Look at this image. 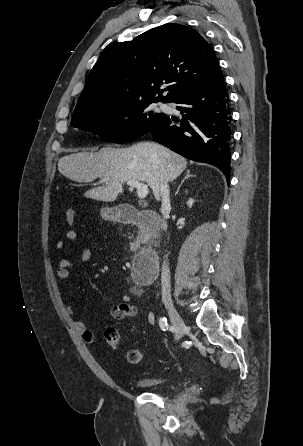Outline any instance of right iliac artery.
Instances as JSON below:
<instances>
[{
    "label": "right iliac artery",
    "instance_id": "1",
    "mask_svg": "<svg viewBox=\"0 0 303 446\" xmlns=\"http://www.w3.org/2000/svg\"><path fill=\"white\" fill-rule=\"evenodd\" d=\"M159 326L163 331H166L168 329L169 326L165 317H161L159 319Z\"/></svg>",
    "mask_w": 303,
    "mask_h": 446
}]
</instances>
